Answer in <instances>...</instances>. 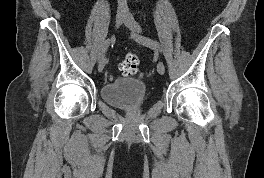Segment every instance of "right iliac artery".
<instances>
[{
	"label": "right iliac artery",
	"mask_w": 264,
	"mask_h": 178,
	"mask_svg": "<svg viewBox=\"0 0 264 178\" xmlns=\"http://www.w3.org/2000/svg\"><path fill=\"white\" fill-rule=\"evenodd\" d=\"M114 39V37H111L110 39H107L105 42H104V45H103V48H102V52L99 56V61H102L104 59V56H105V52L107 51L111 41Z\"/></svg>",
	"instance_id": "1"
}]
</instances>
